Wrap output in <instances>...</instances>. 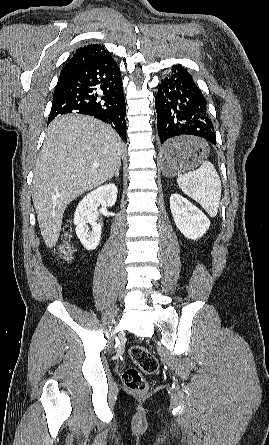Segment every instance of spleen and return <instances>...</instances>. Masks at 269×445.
Instances as JSON below:
<instances>
[{"instance_id": "3e777b00", "label": "spleen", "mask_w": 269, "mask_h": 445, "mask_svg": "<svg viewBox=\"0 0 269 445\" xmlns=\"http://www.w3.org/2000/svg\"><path fill=\"white\" fill-rule=\"evenodd\" d=\"M181 190L198 202L211 216L217 215L221 199V181L213 164L203 160L200 168L178 175Z\"/></svg>"}]
</instances>
